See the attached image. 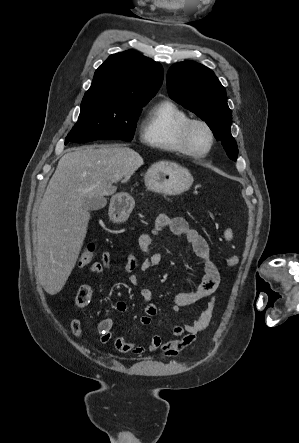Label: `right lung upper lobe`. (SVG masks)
I'll return each mask as SVG.
<instances>
[{"label": "right lung upper lobe", "mask_w": 299, "mask_h": 443, "mask_svg": "<svg viewBox=\"0 0 299 443\" xmlns=\"http://www.w3.org/2000/svg\"><path fill=\"white\" fill-rule=\"evenodd\" d=\"M163 82V68L150 58L128 50L112 54L96 70L84 96L149 101Z\"/></svg>", "instance_id": "obj_1"}]
</instances>
